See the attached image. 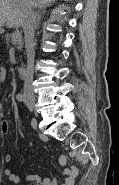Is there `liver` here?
<instances>
[{"mask_svg":"<svg viewBox=\"0 0 119 185\" xmlns=\"http://www.w3.org/2000/svg\"><path fill=\"white\" fill-rule=\"evenodd\" d=\"M34 7L44 8L55 0H29ZM24 2L22 0H0V27H20L24 20Z\"/></svg>","mask_w":119,"mask_h":185,"instance_id":"liver-1","label":"liver"}]
</instances>
